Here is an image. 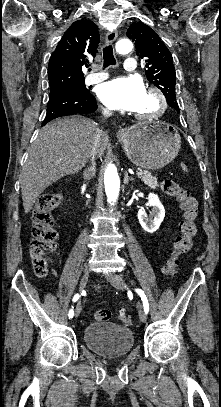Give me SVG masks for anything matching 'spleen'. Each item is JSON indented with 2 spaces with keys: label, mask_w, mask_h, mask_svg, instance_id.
Segmentation results:
<instances>
[{
  "label": "spleen",
  "mask_w": 221,
  "mask_h": 407,
  "mask_svg": "<svg viewBox=\"0 0 221 407\" xmlns=\"http://www.w3.org/2000/svg\"><path fill=\"white\" fill-rule=\"evenodd\" d=\"M181 167L183 169L184 172H187V167L184 163H181Z\"/></svg>",
  "instance_id": "spleen-1"
}]
</instances>
